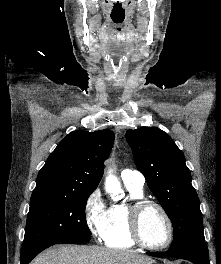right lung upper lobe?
<instances>
[{
    "label": "right lung upper lobe",
    "instance_id": "1",
    "mask_svg": "<svg viewBox=\"0 0 221 264\" xmlns=\"http://www.w3.org/2000/svg\"><path fill=\"white\" fill-rule=\"evenodd\" d=\"M114 143V133L74 131L68 134L39 171L33 192H93L103 176V162Z\"/></svg>",
    "mask_w": 221,
    "mask_h": 264
}]
</instances>
